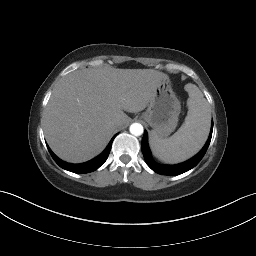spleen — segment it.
<instances>
[{
  "mask_svg": "<svg viewBox=\"0 0 256 256\" xmlns=\"http://www.w3.org/2000/svg\"><path fill=\"white\" fill-rule=\"evenodd\" d=\"M188 113L183 125L168 139L159 138L153 131L150 147L159 160L174 164L196 154L204 145L210 129V107L202 92L194 84H187Z\"/></svg>",
  "mask_w": 256,
  "mask_h": 256,
  "instance_id": "3e777b00",
  "label": "spleen"
}]
</instances>
